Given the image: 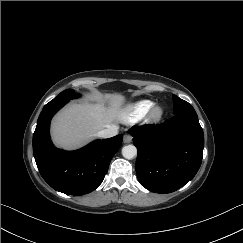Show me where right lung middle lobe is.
I'll return each mask as SVG.
<instances>
[{"instance_id":"dd1d6c3e","label":"right lung middle lobe","mask_w":243,"mask_h":243,"mask_svg":"<svg viewBox=\"0 0 243 243\" xmlns=\"http://www.w3.org/2000/svg\"><path fill=\"white\" fill-rule=\"evenodd\" d=\"M78 96L72 89L65 90L61 92L57 97H55L50 102H56V101H65L69 102V100L74 99Z\"/></svg>"}]
</instances>
